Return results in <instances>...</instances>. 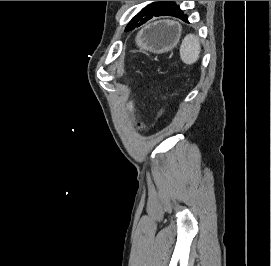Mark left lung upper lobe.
Returning a JSON list of instances; mask_svg holds the SVG:
<instances>
[{
  "label": "left lung upper lobe",
  "mask_w": 271,
  "mask_h": 266,
  "mask_svg": "<svg viewBox=\"0 0 271 266\" xmlns=\"http://www.w3.org/2000/svg\"><path fill=\"white\" fill-rule=\"evenodd\" d=\"M176 5L175 2L172 1H159L154 2L150 5H147L145 8L141 10L133 19L132 21L127 25L126 29L133 28L142 18L150 14L151 12H158V11H170L174 8Z\"/></svg>",
  "instance_id": "1"
}]
</instances>
